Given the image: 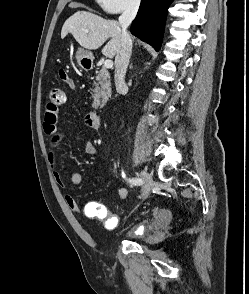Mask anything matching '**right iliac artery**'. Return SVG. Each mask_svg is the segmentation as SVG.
<instances>
[{
	"mask_svg": "<svg viewBox=\"0 0 249 294\" xmlns=\"http://www.w3.org/2000/svg\"><path fill=\"white\" fill-rule=\"evenodd\" d=\"M128 181H129V183H131L133 185H142L143 184V180L139 177L129 178Z\"/></svg>",
	"mask_w": 249,
	"mask_h": 294,
	"instance_id": "82829eb1",
	"label": "right iliac artery"
}]
</instances>
